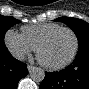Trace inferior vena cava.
I'll list each match as a JSON object with an SVG mask.
<instances>
[{
    "label": "inferior vena cava",
    "mask_w": 89,
    "mask_h": 89,
    "mask_svg": "<svg viewBox=\"0 0 89 89\" xmlns=\"http://www.w3.org/2000/svg\"><path fill=\"white\" fill-rule=\"evenodd\" d=\"M16 57L18 60L24 61V55L23 54H18Z\"/></svg>",
    "instance_id": "obj_1"
}]
</instances>
